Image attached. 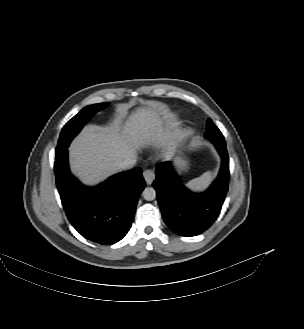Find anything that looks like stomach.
I'll use <instances>...</instances> for the list:
<instances>
[{"label": "stomach", "mask_w": 304, "mask_h": 329, "mask_svg": "<svg viewBox=\"0 0 304 329\" xmlns=\"http://www.w3.org/2000/svg\"><path fill=\"white\" fill-rule=\"evenodd\" d=\"M176 163L179 171H185L188 168V163L181 158H177Z\"/></svg>", "instance_id": "0dacf381"}]
</instances>
